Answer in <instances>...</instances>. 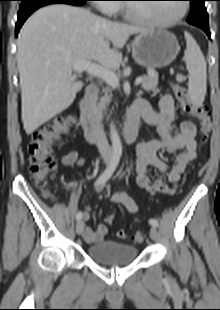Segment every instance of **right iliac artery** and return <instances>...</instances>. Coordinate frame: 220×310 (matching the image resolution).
Segmentation results:
<instances>
[{"instance_id": "obj_1", "label": "right iliac artery", "mask_w": 220, "mask_h": 310, "mask_svg": "<svg viewBox=\"0 0 220 310\" xmlns=\"http://www.w3.org/2000/svg\"><path fill=\"white\" fill-rule=\"evenodd\" d=\"M121 149L116 148L113 150L112 153V157H111V161L109 163V165L107 166V168L104 170V172L99 176V178L96 180L95 184H100V183H105L114 173L120 157H121ZM82 218V213L78 212L76 214V220L79 221Z\"/></svg>"}]
</instances>
